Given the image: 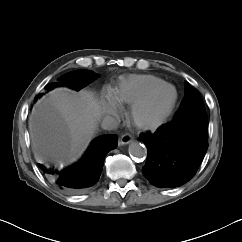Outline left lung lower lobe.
I'll use <instances>...</instances> for the list:
<instances>
[{"label": "left lung lower lobe", "instance_id": "left-lung-lower-lobe-1", "mask_svg": "<svg viewBox=\"0 0 242 242\" xmlns=\"http://www.w3.org/2000/svg\"><path fill=\"white\" fill-rule=\"evenodd\" d=\"M208 121H193L170 130L161 126L140 139L147 146L143 175L159 188H175L191 180L207 151Z\"/></svg>", "mask_w": 242, "mask_h": 242}]
</instances>
